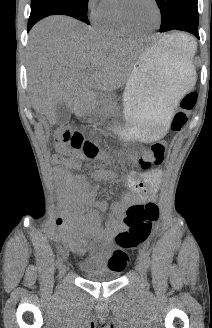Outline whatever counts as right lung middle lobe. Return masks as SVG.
<instances>
[{
  "mask_svg": "<svg viewBox=\"0 0 212 328\" xmlns=\"http://www.w3.org/2000/svg\"><path fill=\"white\" fill-rule=\"evenodd\" d=\"M39 4H50V5H63L75 10L80 16L81 20L89 24L87 18L86 8L88 6V0H32L31 7Z\"/></svg>",
  "mask_w": 212,
  "mask_h": 328,
  "instance_id": "obj_1",
  "label": "right lung middle lobe"
}]
</instances>
